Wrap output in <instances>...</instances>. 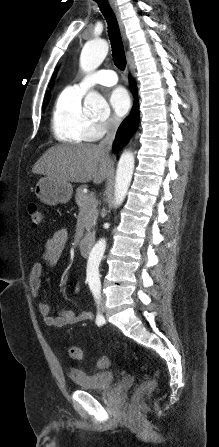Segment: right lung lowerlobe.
Wrapping results in <instances>:
<instances>
[{
  "instance_id": "obj_1",
  "label": "right lung lower lobe",
  "mask_w": 219,
  "mask_h": 447,
  "mask_svg": "<svg viewBox=\"0 0 219 447\" xmlns=\"http://www.w3.org/2000/svg\"><path fill=\"white\" fill-rule=\"evenodd\" d=\"M130 86H131V90H132L134 98H135V103L131 110L130 115L123 120V122L121 123V125L119 126V128L117 130L116 138H115V141L113 144L114 150H119L121 147H123L128 142L130 137L135 133V131L137 130V127H138L139 106L137 104V100H138L137 87L135 85L133 78H131V77H130Z\"/></svg>"
}]
</instances>
